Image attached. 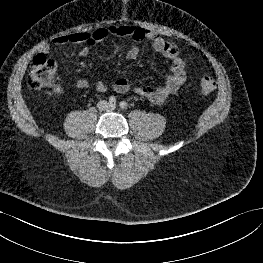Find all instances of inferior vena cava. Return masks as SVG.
I'll return each mask as SVG.
<instances>
[{"label":"inferior vena cava","mask_w":263,"mask_h":263,"mask_svg":"<svg viewBox=\"0 0 263 263\" xmlns=\"http://www.w3.org/2000/svg\"><path fill=\"white\" fill-rule=\"evenodd\" d=\"M107 102L106 101H99L98 102V108L101 110H105L106 108Z\"/></svg>","instance_id":"1"}]
</instances>
